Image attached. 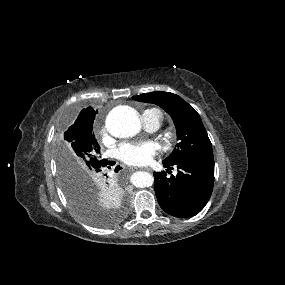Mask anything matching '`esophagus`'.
I'll use <instances>...</instances> for the list:
<instances>
[{
  "label": "esophagus",
  "instance_id": "1",
  "mask_svg": "<svg viewBox=\"0 0 285 285\" xmlns=\"http://www.w3.org/2000/svg\"><path fill=\"white\" fill-rule=\"evenodd\" d=\"M143 170L148 171V172H152V169L149 167H145V168H143Z\"/></svg>",
  "mask_w": 285,
  "mask_h": 285
}]
</instances>
